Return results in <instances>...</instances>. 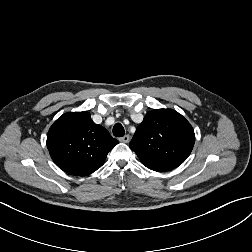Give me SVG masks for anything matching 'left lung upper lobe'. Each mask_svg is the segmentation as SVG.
<instances>
[{
    "mask_svg": "<svg viewBox=\"0 0 252 252\" xmlns=\"http://www.w3.org/2000/svg\"><path fill=\"white\" fill-rule=\"evenodd\" d=\"M194 142V130L181 114L172 109H155L137 127L130 148L145 166L164 161L183 163Z\"/></svg>",
    "mask_w": 252,
    "mask_h": 252,
    "instance_id": "left-lung-upper-lobe-1",
    "label": "left lung upper lobe"
}]
</instances>
